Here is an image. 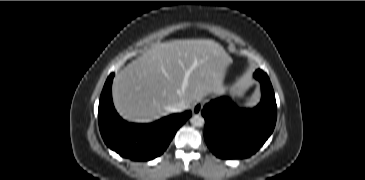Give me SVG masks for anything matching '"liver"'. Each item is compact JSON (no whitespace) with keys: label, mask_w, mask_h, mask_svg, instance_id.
I'll return each mask as SVG.
<instances>
[{"label":"liver","mask_w":365,"mask_h":180,"mask_svg":"<svg viewBox=\"0 0 365 180\" xmlns=\"http://www.w3.org/2000/svg\"><path fill=\"white\" fill-rule=\"evenodd\" d=\"M232 58L211 39L156 43L115 75L113 102L126 120L151 122L179 102L191 108L210 93L224 90Z\"/></svg>","instance_id":"1"}]
</instances>
